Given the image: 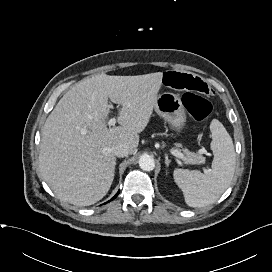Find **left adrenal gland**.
<instances>
[{
    "mask_svg": "<svg viewBox=\"0 0 272 272\" xmlns=\"http://www.w3.org/2000/svg\"><path fill=\"white\" fill-rule=\"evenodd\" d=\"M170 160L168 159V155H165V164L166 166H169Z\"/></svg>",
    "mask_w": 272,
    "mask_h": 272,
    "instance_id": "left-adrenal-gland-1",
    "label": "left adrenal gland"
}]
</instances>
